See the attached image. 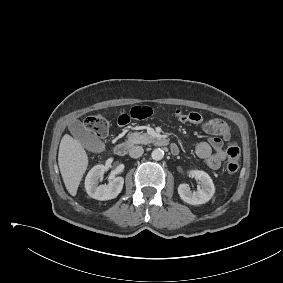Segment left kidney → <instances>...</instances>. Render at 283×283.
<instances>
[{
    "label": "left kidney",
    "mask_w": 283,
    "mask_h": 283,
    "mask_svg": "<svg viewBox=\"0 0 283 283\" xmlns=\"http://www.w3.org/2000/svg\"><path fill=\"white\" fill-rule=\"evenodd\" d=\"M188 174L199 180L200 185L197 187V190L191 191L188 184H180L178 187L180 198L191 205H199L208 202L215 193V187L211 177L202 170H191Z\"/></svg>",
    "instance_id": "5707ae66"
}]
</instances>
